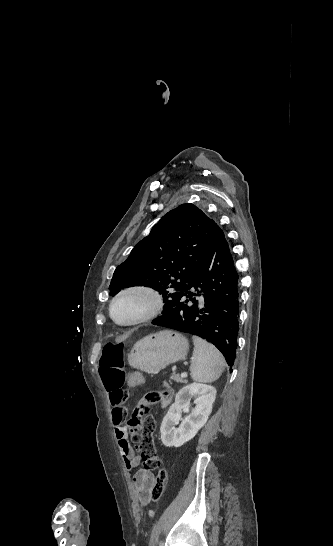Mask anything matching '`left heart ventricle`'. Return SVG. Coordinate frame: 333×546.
Returning a JSON list of instances; mask_svg holds the SVG:
<instances>
[{
  "instance_id": "1",
  "label": "left heart ventricle",
  "mask_w": 333,
  "mask_h": 546,
  "mask_svg": "<svg viewBox=\"0 0 333 546\" xmlns=\"http://www.w3.org/2000/svg\"><path fill=\"white\" fill-rule=\"evenodd\" d=\"M144 307L145 299L142 296H127L116 304L114 315L118 320L126 321L138 314Z\"/></svg>"
}]
</instances>
